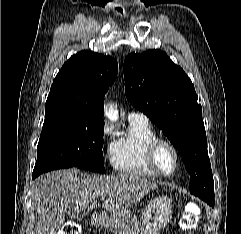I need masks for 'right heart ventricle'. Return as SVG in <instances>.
I'll return each instance as SVG.
<instances>
[{"label": "right heart ventricle", "instance_id": "right-heart-ventricle-1", "mask_svg": "<svg viewBox=\"0 0 241 234\" xmlns=\"http://www.w3.org/2000/svg\"><path fill=\"white\" fill-rule=\"evenodd\" d=\"M156 137L148 121H129L127 130L111 146L110 162L113 169L131 176H158L146 159L147 146Z\"/></svg>", "mask_w": 241, "mask_h": 234}]
</instances>
